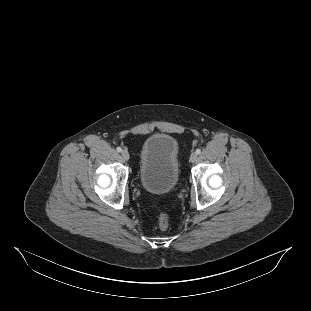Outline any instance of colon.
<instances>
[{
  "instance_id": "colon-1",
  "label": "colon",
  "mask_w": 311,
  "mask_h": 311,
  "mask_svg": "<svg viewBox=\"0 0 311 311\" xmlns=\"http://www.w3.org/2000/svg\"><path fill=\"white\" fill-rule=\"evenodd\" d=\"M169 217L168 214L164 211H159L157 214V224L158 227L162 230L168 227Z\"/></svg>"
}]
</instances>
